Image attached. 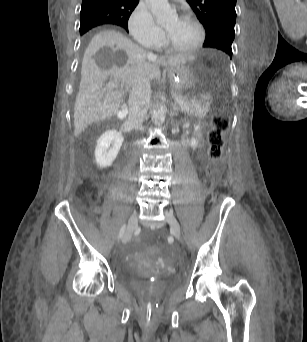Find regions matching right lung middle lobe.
I'll list each match as a JSON object with an SVG mask.
<instances>
[{"instance_id":"obj_1","label":"right lung middle lobe","mask_w":307,"mask_h":342,"mask_svg":"<svg viewBox=\"0 0 307 342\" xmlns=\"http://www.w3.org/2000/svg\"><path fill=\"white\" fill-rule=\"evenodd\" d=\"M116 16L104 11L85 10L80 12V33L84 34L93 27L113 23Z\"/></svg>"}]
</instances>
